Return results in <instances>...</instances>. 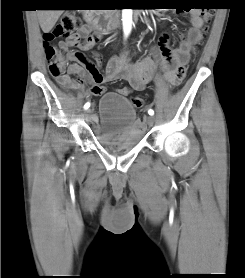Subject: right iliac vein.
<instances>
[{
  "instance_id": "63e3f726",
  "label": "right iliac vein",
  "mask_w": 245,
  "mask_h": 278,
  "mask_svg": "<svg viewBox=\"0 0 245 278\" xmlns=\"http://www.w3.org/2000/svg\"><path fill=\"white\" fill-rule=\"evenodd\" d=\"M91 113H92V110H91V109L86 110V111H85V117H86V118H89L90 115H91Z\"/></svg>"
}]
</instances>
